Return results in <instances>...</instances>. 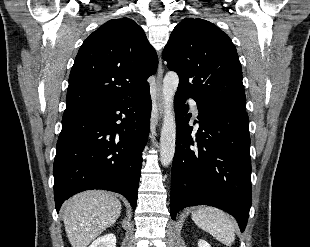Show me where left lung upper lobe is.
Segmentation results:
<instances>
[{
    "instance_id": "left-lung-upper-lobe-1",
    "label": "left lung upper lobe",
    "mask_w": 310,
    "mask_h": 247,
    "mask_svg": "<svg viewBox=\"0 0 310 247\" xmlns=\"http://www.w3.org/2000/svg\"><path fill=\"white\" fill-rule=\"evenodd\" d=\"M163 59L179 76L178 91L199 102L245 110L236 48L213 23L199 18L183 19L174 28Z\"/></svg>"
}]
</instances>
